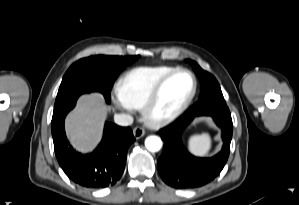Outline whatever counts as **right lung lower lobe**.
Listing matches in <instances>:
<instances>
[{"label":"right lung lower lobe","mask_w":299,"mask_h":205,"mask_svg":"<svg viewBox=\"0 0 299 205\" xmlns=\"http://www.w3.org/2000/svg\"><path fill=\"white\" fill-rule=\"evenodd\" d=\"M109 102V100H106ZM76 101L53 113L51 131L59 165L75 183L87 188H106L121 177L128 147L135 141L130 127L107 123L99 146L90 154H81L69 145L64 119Z\"/></svg>","instance_id":"98d812e1"}]
</instances>
